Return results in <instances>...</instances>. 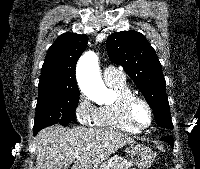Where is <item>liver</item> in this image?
<instances>
[{
  "label": "liver",
  "instance_id": "1",
  "mask_svg": "<svg viewBox=\"0 0 200 169\" xmlns=\"http://www.w3.org/2000/svg\"><path fill=\"white\" fill-rule=\"evenodd\" d=\"M132 143L133 138L109 128L50 126L34 138L35 169H67L71 163V169H98L119 148Z\"/></svg>",
  "mask_w": 200,
  "mask_h": 169
}]
</instances>
